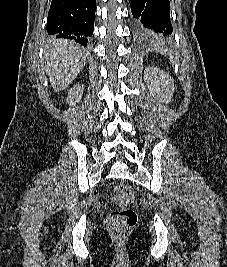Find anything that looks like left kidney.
<instances>
[{
    "instance_id": "5707ae66",
    "label": "left kidney",
    "mask_w": 227,
    "mask_h": 267,
    "mask_svg": "<svg viewBox=\"0 0 227 267\" xmlns=\"http://www.w3.org/2000/svg\"><path fill=\"white\" fill-rule=\"evenodd\" d=\"M144 80L158 101L170 102L175 88L174 81L169 74L156 67H148L144 71Z\"/></svg>"
}]
</instances>
